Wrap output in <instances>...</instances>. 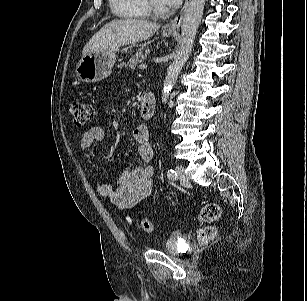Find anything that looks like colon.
I'll return each instance as SVG.
<instances>
[{"instance_id": "5ec220e1", "label": "colon", "mask_w": 307, "mask_h": 301, "mask_svg": "<svg viewBox=\"0 0 307 301\" xmlns=\"http://www.w3.org/2000/svg\"><path fill=\"white\" fill-rule=\"evenodd\" d=\"M69 109L77 126L86 125L94 117L93 106L82 99H72L69 103ZM220 215V207L215 203H208L201 209L200 218L207 223L198 231L199 239L202 242H209L216 237L218 230L214 223L220 218ZM127 219L133 223L131 217ZM138 227L146 233L153 230V224L149 219H141L138 222Z\"/></svg>"}]
</instances>
